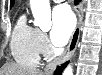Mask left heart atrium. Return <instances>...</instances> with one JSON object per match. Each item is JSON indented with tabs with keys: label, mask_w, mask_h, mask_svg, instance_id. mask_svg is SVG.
<instances>
[{
	"label": "left heart atrium",
	"mask_w": 102,
	"mask_h": 75,
	"mask_svg": "<svg viewBox=\"0 0 102 75\" xmlns=\"http://www.w3.org/2000/svg\"><path fill=\"white\" fill-rule=\"evenodd\" d=\"M52 28L50 38L53 45L62 47L71 38L76 19L70 7L66 4L57 6L52 13Z\"/></svg>",
	"instance_id": "1"
}]
</instances>
